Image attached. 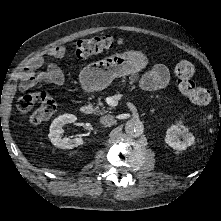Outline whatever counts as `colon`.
Masks as SVG:
<instances>
[{
	"label": "colon",
	"mask_w": 221,
	"mask_h": 221,
	"mask_svg": "<svg viewBox=\"0 0 221 221\" xmlns=\"http://www.w3.org/2000/svg\"><path fill=\"white\" fill-rule=\"evenodd\" d=\"M120 43V39L109 35L94 36L80 40L76 45L75 53L78 58H87L110 50ZM174 72L178 89L184 96L198 105H205L210 101L209 91L198 86L193 79L196 68L192 62L180 61L176 64ZM17 106L18 110L26 116L28 123L37 125L55 114L57 102L46 89H38L21 97Z\"/></svg>",
	"instance_id": "colon-1"
}]
</instances>
